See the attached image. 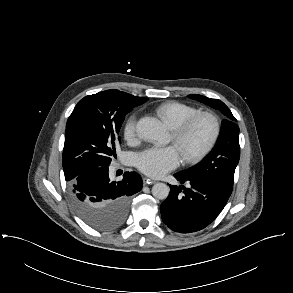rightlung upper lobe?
I'll use <instances>...</instances> for the list:
<instances>
[{"instance_id":"cb5924a9","label":"right lung upper lobe","mask_w":293,"mask_h":293,"mask_svg":"<svg viewBox=\"0 0 293 293\" xmlns=\"http://www.w3.org/2000/svg\"><path fill=\"white\" fill-rule=\"evenodd\" d=\"M136 99L140 101L142 104L147 101V98L136 97Z\"/></svg>"}]
</instances>
